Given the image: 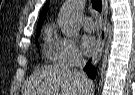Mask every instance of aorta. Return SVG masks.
<instances>
[{
	"label": "aorta",
	"instance_id": "1",
	"mask_svg": "<svg viewBox=\"0 0 135 95\" xmlns=\"http://www.w3.org/2000/svg\"><path fill=\"white\" fill-rule=\"evenodd\" d=\"M83 0H66L59 13L58 24L67 37H75L79 33V16L83 10Z\"/></svg>",
	"mask_w": 135,
	"mask_h": 95
}]
</instances>
